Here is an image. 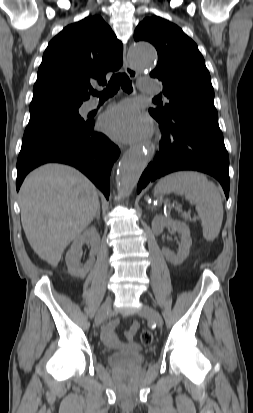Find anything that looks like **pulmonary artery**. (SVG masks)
<instances>
[{"mask_svg": "<svg viewBox=\"0 0 253 413\" xmlns=\"http://www.w3.org/2000/svg\"><path fill=\"white\" fill-rule=\"evenodd\" d=\"M141 90L146 93L154 94V93L159 92V87L154 82H148L146 84L141 85ZM97 106H98V100H90L86 102L84 109L86 111H90L96 108Z\"/></svg>", "mask_w": 253, "mask_h": 413, "instance_id": "obj_1", "label": "pulmonary artery"}]
</instances>
